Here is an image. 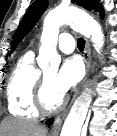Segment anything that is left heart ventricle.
<instances>
[{
    "label": "left heart ventricle",
    "mask_w": 117,
    "mask_h": 136,
    "mask_svg": "<svg viewBox=\"0 0 117 136\" xmlns=\"http://www.w3.org/2000/svg\"><path fill=\"white\" fill-rule=\"evenodd\" d=\"M55 77V71H50L44 74V78L46 80L45 101L49 106L56 105L61 97L54 88Z\"/></svg>",
    "instance_id": "obj_1"
}]
</instances>
